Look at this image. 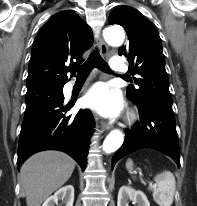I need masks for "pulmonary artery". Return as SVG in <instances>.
Here are the masks:
<instances>
[{"label":"pulmonary artery","mask_w":197,"mask_h":206,"mask_svg":"<svg viewBox=\"0 0 197 206\" xmlns=\"http://www.w3.org/2000/svg\"><path fill=\"white\" fill-rule=\"evenodd\" d=\"M111 67L114 71L121 72L125 70V63L120 57H114L111 61Z\"/></svg>","instance_id":"obj_1"}]
</instances>
